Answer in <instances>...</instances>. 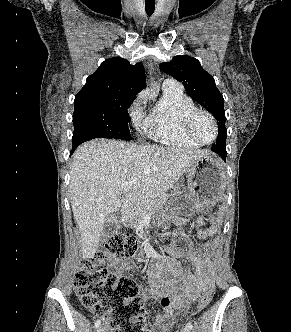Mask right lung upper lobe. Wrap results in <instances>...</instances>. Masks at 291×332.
Segmentation results:
<instances>
[{
	"mask_svg": "<svg viewBox=\"0 0 291 332\" xmlns=\"http://www.w3.org/2000/svg\"><path fill=\"white\" fill-rule=\"evenodd\" d=\"M146 86L141 63L134 66L126 59L114 57L105 60L97 71L86 79L85 86L75 99L102 96L133 98Z\"/></svg>",
	"mask_w": 291,
	"mask_h": 332,
	"instance_id": "1",
	"label": "right lung upper lobe"
}]
</instances>
